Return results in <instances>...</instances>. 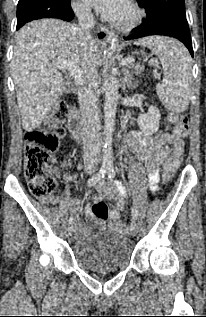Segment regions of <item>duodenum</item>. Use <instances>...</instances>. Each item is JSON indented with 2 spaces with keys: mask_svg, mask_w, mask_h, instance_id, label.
<instances>
[{
  "mask_svg": "<svg viewBox=\"0 0 206 317\" xmlns=\"http://www.w3.org/2000/svg\"><path fill=\"white\" fill-rule=\"evenodd\" d=\"M69 128L71 135L76 140H83L85 137V129L82 120L75 109H72L69 116Z\"/></svg>",
  "mask_w": 206,
  "mask_h": 317,
  "instance_id": "obj_1",
  "label": "duodenum"
}]
</instances>
